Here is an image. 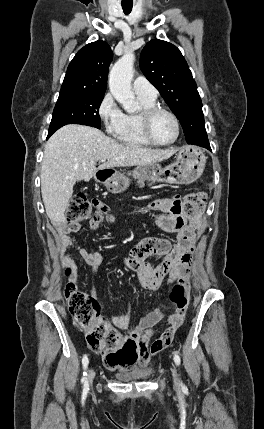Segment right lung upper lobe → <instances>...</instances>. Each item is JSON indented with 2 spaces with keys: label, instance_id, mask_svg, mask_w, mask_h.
Returning <instances> with one entry per match:
<instances>
[{
  "label": "right lung upper lobe",
  "instance_id": "right-lung-upper-lobe-1",
  "mask_svg": "<svg viewBox=\"0 0 264 429\" xmlns=\"http://www.w3.org/2000/svg\"><path fill=\"white\" fill-rule=\"evenodd\" d=\"M112 58L113 53L105 41L84 46L70 62L60 92L104 94Z\"/></svg>",
  "mask_w": 264,
  "mask_h": 429
}]
</instances>
